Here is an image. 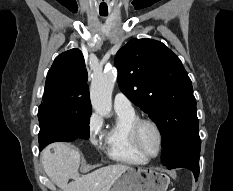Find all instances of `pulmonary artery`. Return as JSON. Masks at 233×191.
Here are the masks:
<instances>
[{
  "mask_svg": "<svg viewBox=\"0 0 233 191\" xmlns=\"http://www.w3.org/2000/svg\"><path fill=\"white\" fill-rule=\"evenodd\" d=\"M114 108L116 111H134L131 101L121 92L117 93L114 97Z\"/></svg>",
  "mask_w": 233,
  "mask_h": 191,
  "instance_id": "pulmonary-artery-1",
  "label": "pulmonary artery"
}]
</instances>
